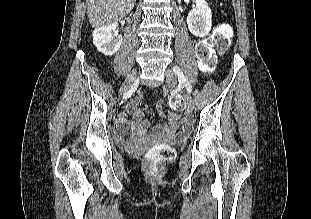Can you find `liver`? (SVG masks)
Returning <instances> with one entry per match:
<instances>
[{"instance_id":"liver-1","label":"liver","mask_w":311,"mask_h":219,"mask_svg":"<svg viewBox=\"0 0 311 219\" xmlns=\"http://www.w3.org/2000/svg\"><path fill=\"white\" fill-rule=\"evenodd\" d=\"M136 0H86L87 15L93 28L116 23L133 9Z\"/></svg>"}]
</instances>
